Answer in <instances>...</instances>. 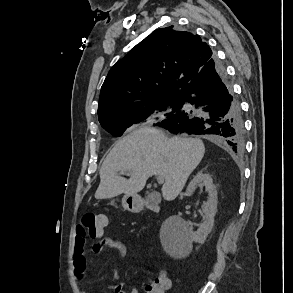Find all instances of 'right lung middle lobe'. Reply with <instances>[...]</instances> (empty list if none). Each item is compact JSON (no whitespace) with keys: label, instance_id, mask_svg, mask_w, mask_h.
<instances>
[{"label":"right lung middle lobe","instance_id":"dd1d6c3e","mask_svg":"<svg viewBox=\"0 0 293 293\" xmlns=\"http://www.w3.org/2000/svg\"><path fill=\"white\" fill-rule=\"evenodd\" d=\"M176 108V100L170 99L134 113L107 115L100 118L99 122L108 132L121 136L132 124L141 121H158L172 113Z\"/></svg>","mask_w":293,"mask_h":293}]
</instances>
